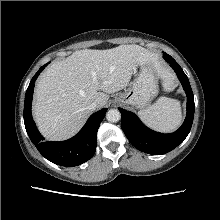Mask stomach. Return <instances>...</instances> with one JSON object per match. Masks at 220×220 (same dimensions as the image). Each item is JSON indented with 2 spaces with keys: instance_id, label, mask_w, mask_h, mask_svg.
Listing matches in <instances>:
<instances>
[{
  "instance_id": "obj_1",
  "label": "stomach",
  "mask_w": 220,
  "mask_h": 220,
  "mask_svg": "<svg viewBox=\"0 0 220 220\" xmlns=\"http://www.w3.org/2000/svg\"><path fill=\"white\" fill-rule=\"evenodd\" d=\"M158 93V76L152 63L140 66L138 76L116 97V101L123 105H130L137 109L145 108Z\"/></svg>"
}]
</instances>
